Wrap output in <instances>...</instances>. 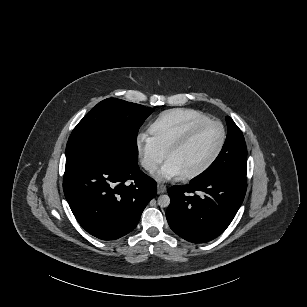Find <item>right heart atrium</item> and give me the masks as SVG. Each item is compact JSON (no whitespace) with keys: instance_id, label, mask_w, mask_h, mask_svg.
Masks as SVG:
<instances>
[{"instance_id":"1","label":"right heart atrium","mask_w":307,"mask_h":307,"mask_svg":"<svg viewBox=\"0 0 307 307\" xmlns=\"http://www.w3.org/2000/svg\"><path fill=\"white\" fill-rule=\"evenodd\" d=\"M136 151L144 169L153 174L164 160V152L152 137L140 133L136 138Z\"/></svg>"}]
</instances>
